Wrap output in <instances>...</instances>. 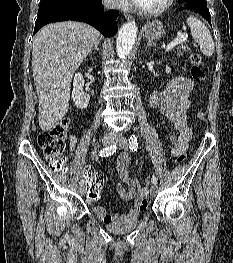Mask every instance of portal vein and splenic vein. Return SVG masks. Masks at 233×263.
I'll return each instance as SVG.
<instances>
[{"instance_id": "obj_1", "label": "portal vein and splenic vein", "mask_w": 233, "mask_h": 263, "mask_svg": "<svg viewBox=\"0 0 233 263\" xmlns=\"http://www.w3.org/2000/svg\"><path fill=\"white\" fill-rule=\"evenodd\" d=\"M188 38V35L186 33L184 34H179L177 36V38H175L173 41H171L167 47H166V51H170L174 46L186 41Z\"/></svg>"}]
</instances>
